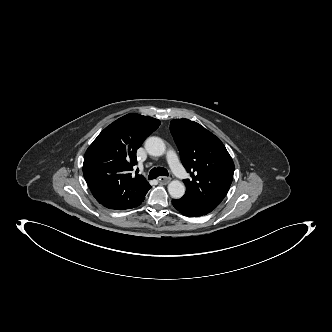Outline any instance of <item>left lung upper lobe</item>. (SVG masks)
<instances>
[{
  "instance_id": "5c2ea615",
  "label": "left lung upper lobe",
  "mask_w": 332,
  "mask_h": 332,
  "mask_svg": "<svg viewBox=\"0 0 332 332\" xmlns=\"http://www.w3.org/2000/svg\"><path fill=\"white\" fill-rule=\"evenodd\" d=\"M170 131L191 179L184 180L187 196L214 209L226 196L234 163L223 143L200 124L174 119Z\"/></svg>"
}]
</instances>
